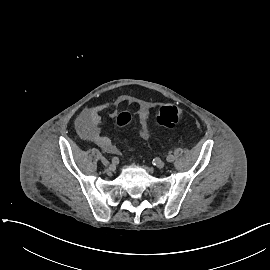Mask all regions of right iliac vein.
I'll return each mask as SVG.
<instances>
[{
  "mask_svg": "<svg viewBox=\"0 0 270 270\" xmlns=\"http://www.w3.org/2000/svg\"><path fill=\"white\" fill-rule=\"evenodd\" d=\"M101 162L104 166H109L110 170L114 169V165H110L109 161L105 157H101Z\"/></svg>",
  "mask_w": 270,
  "mask_h": 270,
  "instance_id": "right-iliac-vein-1",
  "label": "right iliac vein"
}]
</instances>
